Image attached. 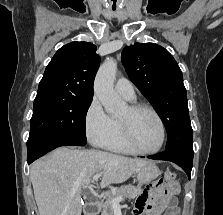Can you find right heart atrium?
Here are the masks:
<instances>
[{
	"label": "right heart atrium",
	"instance_id": "1",
	"mask_svg": "<svg viewBox=\"0 0 223 215\" xmlns=\"http://www.w3.org/2000/svg\"><path fill=\"white\" fill-rule=\"evenodd\" d=\"M84 126L89 139L102 144L113 131L115 120L105 112L101 102L93 98L85 113Z\"/></svg>",
	"mask_w": 223,
	"mask_h": 215
}]
</instances>
